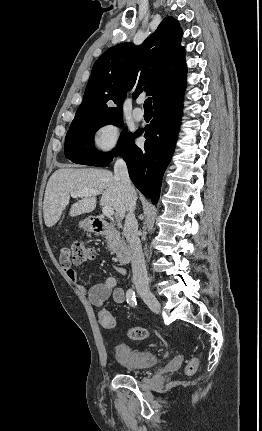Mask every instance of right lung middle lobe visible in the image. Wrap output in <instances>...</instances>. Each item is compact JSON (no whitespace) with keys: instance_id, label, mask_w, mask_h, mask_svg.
Masks as SVG:
<instances>
[{"instance_id":"dd1d6c3e","label":"right lung middle lobe","mask_w":262,"mask_h":431,"mask_svg":"<svg viewBox=\"0 0 262 431\" xmlns=\"http://www.w3.org/2000/svg\"><path fill=\"white\" fill-rule=\"evenodd\" d=\"M106 124L123 126L122 116L73 120L65 139V156L74 163L89 166H106L111 163L112 154L100 153L94 148V134ZM132 136L133 134L124 128L114 155L122 152Z\"/></svg>"}]
</instances>
